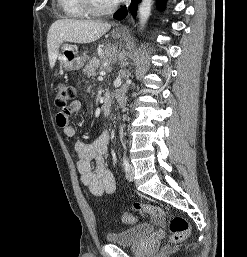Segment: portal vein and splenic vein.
I'll use <instances>...</instances> for the list:
<instances>
[{
	"instance_id": "18ae733b",
	"label": "portal vein and splenic vein",
	"mask_w": 247,
	"mask_h": 257,
	"mask_svg": "<svg viewBox=\"0 0 247 257\" xmlns=\"http://www.w3.org/2000/svg\"><path fill=\"white\" fill-rule=\"evenodd\" d=\"M105 74V72H100V76H104Z\"/></svg>"
}]
</instances>
